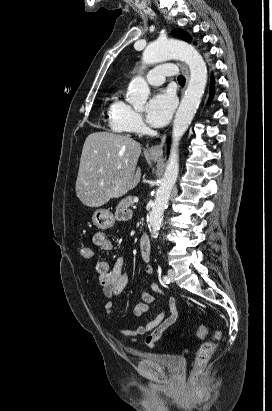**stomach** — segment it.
<instances>
[{
    "instance_id": "stomach-1",
    "label": "stomach",
    "mask_w": 272,
    "mask_h": 411,
    "mask_svg": "<svg viewBox=\"0 0 272 411\" xmlns=\"http://www.w3.org/2000/svg\"><path fill=\"white\" fill-rule=\"evenodd\" d=\"M151 160L156 161L158 157L150 156ZM92 222L98 229H109L113 227L115 218L113 214L107 209H97L92 215Z\"/></svg>"
}]
</instances>
